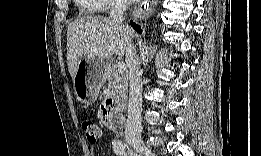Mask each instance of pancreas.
Wrapping results in <instances>:
<instances>
[{"instance_id":"1","label":"pancreas","mask_w":261,"mask_h":156,"mask_svg":"<svg viewBox=\"0 0 261 156\" xmlns=\"http://www.w3.org/2000/svg\"><path fill=\"white\" fill-rule=\"evenodd\" d=\"M104 78L109 81V89L115 96L121 99L127 98L128 74L125 71H118L113 64L105 68Z\"/></svg>"}]
</instances>
